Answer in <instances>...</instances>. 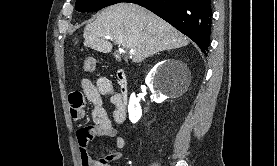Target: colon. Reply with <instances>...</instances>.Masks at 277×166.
<instances>
[{"label": "colon", "mask_w": 277, "mask_h": 166, "mask_svg": "<svg viewBox=\"0 0 277 166\" xmlns=\"http://www.w3.org/2000/svg\"><path fill=\"white\" fill-rule=\"evenodd\" d=\"M96 61L92 56H86L83 60V69L86 72H92L95 69Z\"/></svg>", "instance_id": "1"}]
</instances>
